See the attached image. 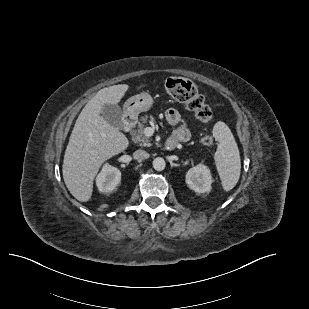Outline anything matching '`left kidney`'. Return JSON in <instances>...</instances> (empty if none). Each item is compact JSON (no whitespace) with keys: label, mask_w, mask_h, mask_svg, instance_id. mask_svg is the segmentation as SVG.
<instances>
[{"label":"left kidney","mask_w":309,"mask_h":309,"mask_svg":"<svg viewBox=\"0 0 309 309\" xmlns=\"http://www.w3.org/2000/svg\"><path fill=\"white\" fill-rule=\"evenodd\" d=\"M212 181L209 168L203 164L189 169L186 174V183L197 193L210 192Z\"/></svg>","instance_id":"left-kidney-1"}]
</instances>
